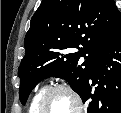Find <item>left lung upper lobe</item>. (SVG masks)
<instances>
[{"instance_id":"left-lung-upper-lobe-1","label":"left lung upper lobe","mask_w":121,"mask_h":113,"mask_svg":"<svg viewBox=\"0 0 121 113\" xmlns=\"http://www.w3.org/2000/svg\"><path fill=\"white\" fill-rule=\"evenodd\" d=\"M120 21L113 0H42L31 19L18 71L21 103L25 105L38 82L51 76L68 80L81 95Z\"/></svg>"}]
</instances>
